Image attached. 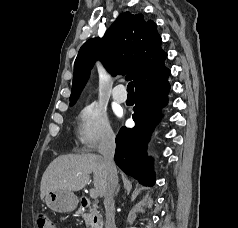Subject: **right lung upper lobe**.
I'll return each mask as SVG.
<instances>
[{"instance_id":"cb5924a9","label":"right lung upper lobe","mask_w":238,"mask_h":228,"mask_svg":"<svg viewBox=\"0 0 238 228\" xmlns=\"http://www.w3.org/2000/svg\"><path fill=\"white\" fill-rule=\"evenodd\" d=\"M167 57L153 21L142 14L124 12L102 39L92 38L79 50L74 64L70 103L78 99L96 60L112 74H127L135 88L155 78L165 68Z\"/></svg>"}]
</instances>
